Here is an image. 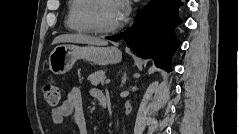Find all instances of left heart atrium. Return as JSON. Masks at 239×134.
<instances>
[{"label":"left heart atrium","instance_id":"left-heart-atrium-1","mask_svg":"<svg viewBox=\"0 0 239 134\" xmlns=\"http://www.w3.org/2000/svg\"><path fill=\"white\" fill-rule=\"evenodd\" d=\"M114 6L118 21L120 22L124 20L130 10L128 2L124 0H117L114 1Z\"/></svg>","mask_w":239,"mask_h":134}]
</instances>
